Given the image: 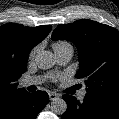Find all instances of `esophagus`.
Returning a JSON list of instances; mask_svg holds the SVG:
<instances>
[{
	"mask_svg": "<svg viewBox=\"0 0 119 119\" xmlns=\"http://www.w3.org/2000/svg\"><path fill=\"white\" fill-rule=\"evenodd\" d=\"M49 98H50V100L53 101L55 99H58L59 95L57 93L51 92V93H49Z\"/></svg>",
	"mask_w": 119,
	"mask_h": 119,
	"instance_id": "obj_1",
	"label": "esophagus"
}]
</instances>
